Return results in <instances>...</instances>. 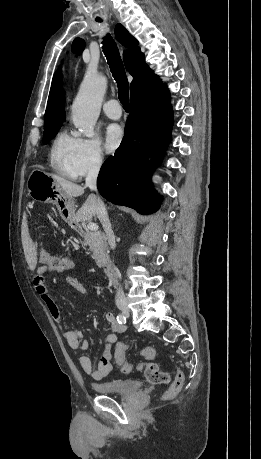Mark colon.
<instances>
[{
    "label": "colon",
    "mask_w": 261,
    "mask_h": 459,
    "mask_svg": "<svg viewBox=\"0 0 261 459\" xmlns=\"http://www.w3.org/2000/svg\"><path fill=\"white\" fill-rule=\"evenodd\" d=\"M33 232L35 233L36 231L34 230ZM34 242L39 244L41 239L36 237ZM35 249L40 259L42 261H47V269L49 271H66L73 267V261L69 257H62L59 252L53 255L51 252H47V247L45 245H36ZM128 348V344L124 342H120L116 346L115 354L118 357V364L122 372L130 373L135 369L141 370L144 372L146 379L152 384L161 385L171 383L169 389L164 394L166 399L173 398L180 392L184 382V376L181 371H177L172 378L170 373L162 370L158 364L153 362L129 364L125 362L123 357ZM141 355L147 360H153L156 356V351L152 346H146L141 350Z\"/></svg>",
    "instance_id": "5ec220e1"
}]
</instances>
